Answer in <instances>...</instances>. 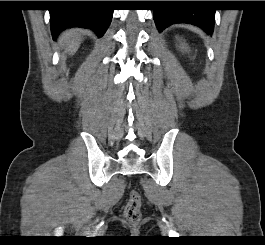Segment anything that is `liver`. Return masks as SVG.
I'll return each instance as SVG.
<instances>
[{
	"label": "liver",
	"instance_id": "liver-1",
	"mask_svg": "<svg viewBox=\"0 0 265 245\" xmlns=\"http://www.w3.org/2000/svg\"><path fill=\"white\" fill-rule=\"evenodd\" d=\"M82 39L81 33L77 31L68 32L60 38L62 45L66 49V52H68L70 55L74 54L78 50Z\"/></svg>",
	"mask_w": 265,
	"mask_h": 245
}]
</instances>
